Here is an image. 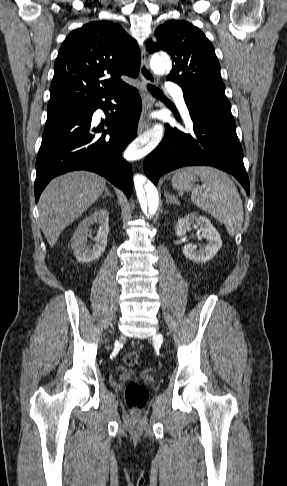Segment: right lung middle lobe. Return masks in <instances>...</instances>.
<instances>
[{"instance_id": "right-lung-middle-lobe-1", "label": "right lung middle lobe", "mask_w": 287, "mask_h": 486, "mask_svg": "<svg viewBox=\"0 0 287 486\" xmlns=\"http://www.w3.org/2000/svg\"><path fill=\"white\" fill-rule=\"evenodd\" d=\"M80 107H70V108H63V109H54V110H48V116H47V121L57 119L59 117L79 112Z\"/></svg>"}]
</instances>
